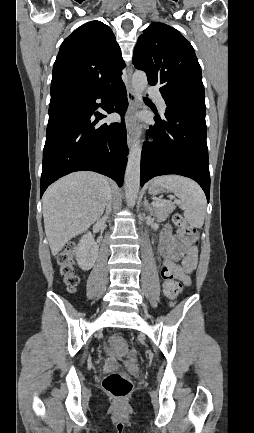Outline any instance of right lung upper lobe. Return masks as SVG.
<instances>
[{
	"mask_svg": "<svg viewBox=\"0 0 254 433\" xmlns=\"http://www.w3.org/2000/svg\"><path fill=\"white\" fill-rule=\"evenodd\" d=\"M124 66L112 30L101 21L85 23L61 44L53 66L50 93L107 88L122 81Z\"/></svg>",
	"mask_w": 254,
	"mask_h": 433,
	"instance_id": "right-lung-upper-lobe-1",
	"label": "right lung upper lobe"
}]
</instances>
